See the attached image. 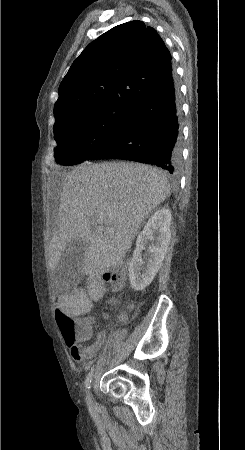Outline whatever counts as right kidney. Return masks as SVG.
I'll use <instances>...</instances> for the list:
<instances>
[{"mask_svg": "<svg viewBox=\"0 0 245 450\" xmlns=\"http://www.w3.org/2000/svg\"><path fill=\"white\" fill-rule=\"evenodd\" d=\"M171 211L159 209L148 220L143 231L136 240V249L129 264V280L136 291L145 289L154 279L160 269L171 238ZM148 240L152 244L148 248V259L145 263L141 251Z\"/></svg>", "mask_w": 245, "mask_h": 450, "instance_id": "1", "label": "right kidney"}]
</instances>
